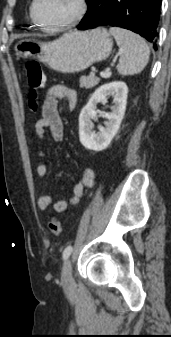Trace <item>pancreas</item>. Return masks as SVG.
I'll use <instances>...</instances> for the list:
<instances>
[{"label":"pancreas","mask_w":171,"mask_h":337,"mask_svg":"<svg viewBox=\"0 0 171 337\" xmlns=\"http://www.w3.org/2000/svg\"><path fill=\"white\" fill-rule=\"evenodd\" d=\"M100 79L95 76L94 73H91L89 76H81L79 83L80 87H85L86 89H90L95 87L99 83Z\"/></svg>","instance_id":"1"}]
</instances>
